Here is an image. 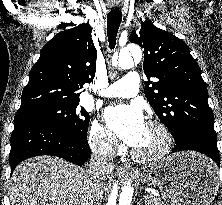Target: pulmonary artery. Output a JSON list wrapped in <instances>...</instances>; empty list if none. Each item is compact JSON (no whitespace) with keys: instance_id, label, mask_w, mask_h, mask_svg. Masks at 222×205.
<instances>
[{"instance_id":"obj_1","label":"pulmonary artery","mask_w":222,"mask_h":205,"mask_svg":"<svg viewBox=\"0 0 222 205\" xmlns=\"http://www.w3.org/2000/svg\"><path fill=\"white\" fill-rule=\"evenodd\" d=\"M139 91L138 75L134 71H129L125 77L108 86L101 92L104 97H133Z\"/></svg>"}]
</instances>
